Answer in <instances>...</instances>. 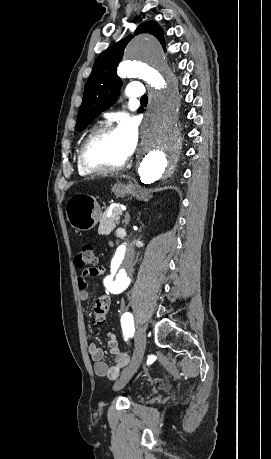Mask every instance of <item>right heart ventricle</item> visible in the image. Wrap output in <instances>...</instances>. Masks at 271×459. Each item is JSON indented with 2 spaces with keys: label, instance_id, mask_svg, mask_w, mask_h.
I'll return each instance as SVG.
<instances>
[{
  "label": "right heart ventricle",
  "instance_id": "obj_1",
  "mask_svg": "<svg viewBox=\"0 0 271 459\" xmlns=\"http://www.w3.org/2000/svg\"><path fill=\"white\" fill-rule=\"evenodd\" d=\"M95 128L96 127H93V128H91L90 130H88L86 132V134L82 138V141L79 143L78 148L76 150V154H75L76 169H77V172H78L79 176L82 177V178H91L94 175H96V172H90V171L86 170L83 167V165L81 164V161H80V157H79L81 144L83 143L84 139L95 130Z\"/></svg>",
  "mask_w": 271,
  "mask_h": 459
}]
</instances>
